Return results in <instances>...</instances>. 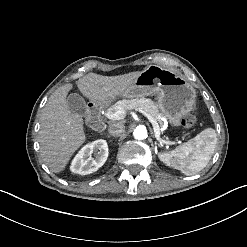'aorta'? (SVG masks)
I'll return each mask as SVG.
<instances>
[{
  "label": "aorta",
  "mask_w": 247,
  "mask_h": 247,
  "mask_svg": "<svg viewBox=\"0 0 247 247\" xmlns=\"http://www.w3.org/2000/svg\"><path fill=\"white\" fill-rule=\"evenodd\" d=\"M133 136L136 140H144L147 138V129L145 126H138L133 132Z\"/></svg>",
  "instance_id": "obj_1"
}]
</instances>
